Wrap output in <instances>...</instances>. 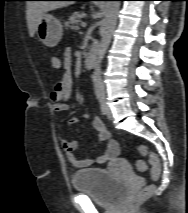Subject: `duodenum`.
I'll use <instances>...</instances> for the list:
<instances>
[{
    "label": "duodenum",
    "instance_id": "1",
    "mask_svg": "<svg viewBox=\"0 0 188 213\" xmlns=\"http://www.w3.org/2000/svg\"><path fill=\"white\" fill-rule=\"evenodd\" d=\"M97 52H98V46L96 44H93L84 61V65L87 69H91L95 66V63L97 60Z\"/></svg>",
    "mask_w": 188,
    "mask_h": 213
}]
</instances>
